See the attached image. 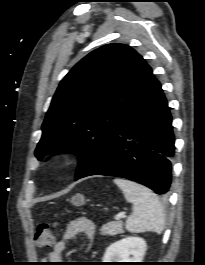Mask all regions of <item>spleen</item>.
Here are the masks:
<instances>
[{"label": "spleen", "instance_id": "3e777b00", "mask_svg": "<svg viewBox=\"0 0 205 265\" xmlns=\"http://www.w3.org/2000/svg\"><path fill=\"white\" fill-rule=\"evenodd\" d=\"M114 183L121 188L126 200L133 204V213L126 220V229L131 233L161 234L165 226V215L156 194L130 180L116 178Z\"/></svg>", "mask_w": 205, "mask_h": 265}]
</instances>
